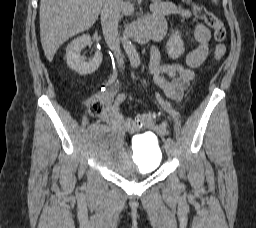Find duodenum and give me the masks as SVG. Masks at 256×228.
I'll use <instances>...</instances> for the list:
<instances>
[{
    "label": "duodenum",
    "instance_id": "obj_1",
    "mask_svg": "<svg viewBox=\"0 0 256 228\" xmlns=\"http://www.w3.org/2000/svg\"><path fill=\"white\" fill-rule=\"evenodd\" d=\"M129 35L134 41L145 43L150 39H160L162 37V32L154 24L148 20H144L134 25L130 29Z\"/></svg>",
    "mask_w": 256,
    "mask_h": 228
}]
</instances>
